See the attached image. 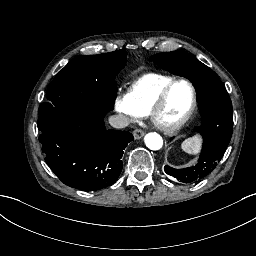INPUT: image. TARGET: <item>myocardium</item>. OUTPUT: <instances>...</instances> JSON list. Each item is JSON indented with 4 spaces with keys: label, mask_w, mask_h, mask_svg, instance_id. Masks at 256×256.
Segmentation results:
<instances>
[{
    "label": "myocardium",
    "mask_w": 256,
    "mask_h": 256,
    "mask_svg": "<svg viewBox=\"0 0 256 256\" xmlns=\"http://www.w3.org/2000/svg\"><path fill=\"white\" fill-rule=\"evenodd\" d=\"M180 82H184L186 83L189 87H190V90H191V93H192V103H191V106L189 108V110L185 113V115L179 119L178 121H176L173 126L169 129V130H166V129H162V131L167 134V135H170L172 134L173 132H175L176 130H178L180 127H182L189 119L190 117L193 115L196 107H197V96H196V90H195V87L193 85V83L188 79V78H185V77H179L175 80H173L158 96L157 98L151 102V103H148V104H144V107H145V112L152 116V111L153 110H156V109H159L161 108L167 101L172 89Z\"/></svg>",
    "instance_id": "obj_1"
}]
</instances>
